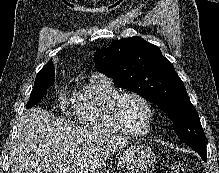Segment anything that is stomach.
I'll list each match as a JSON object with an SVG mask.
<instances>
[{"instance_id":"0dacf381","label":"stomach","mask_w":219,"mask_h":173,"mask_svg":"<svg viewBox=\"0 0 219 173\" xmlns=\"http://www.w3.org/2000/svg\"><path fill=\"white\" fill-rule=\"evenodd\" d=\"M155 160V153L149 146L141 142H134L119 153L117 166L126 168L130 173H143L154 164ZM99 173H112V171L102 169Z\"/></svg>"}]
</instances>
